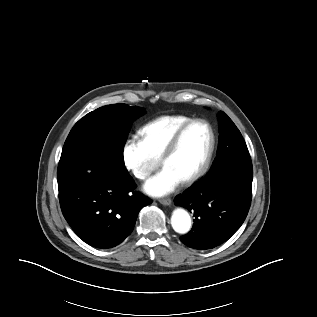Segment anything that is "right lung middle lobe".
Returning a JSON list of instances; mask_svg holds the SVG:
<instances>
[{
	"label": "right lung middle lobe",
	"mask_w": 317,
	"mask_h": 317,
	"mask_svg": "<svg viewBox=\"0 0 317 317\" xmlns=\"http://www.w3.org/2000/svg\"><path fill=\"white\" fill-rule=\"evenodd\" d=\"M144 109L127 104L100 107L80 119L69 133L58 165V178L70 169L109 156L123 163V148L132 122Z\"/></svg>",
	"instance_id": "right-lung-middle-lobe-1"
}]
</instances>
